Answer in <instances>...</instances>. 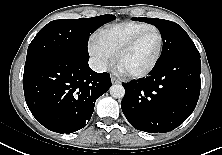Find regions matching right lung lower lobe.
Here are the masks:
<instances>
[{
    "label": "right lung lower lobe",
    "mask_w": 222,
    "mask_h": 155,
    "mask_svg": "<svg viewBox=\"0 0 222 155\" xmlns=\"http://www.w3.org/2000/svg\"><path fill=\"white\" fill-rule=\"evenodd\" d=\"M111 87L108 73H96L88 59L59 56L24 68L26 103L47 129L69 134L85 127L96 99Z\"/></svg>",
    "instance_id": "obj_1"
}]
</instances>
